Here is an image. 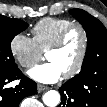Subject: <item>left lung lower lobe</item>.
<instances>
[{
  "label": "left lung lower lobe",
  "instance_id": "obj_1",
  "mask_svg": "<svg viewBox=\"0 0 107 107\" xmlns=\"http://www.w3.org/2000/svg\"><path fill=\"white\" fill-rule=\"evenodd\" d=\"M77 83L69 80L59 88L61 104L58 107H69L68 99L77 97H81L79 107H107V77L96 74L85 80V85Z\"/></svg>",
  "mask_w": 107,
  "mask_h": 107
}]
</instances>
